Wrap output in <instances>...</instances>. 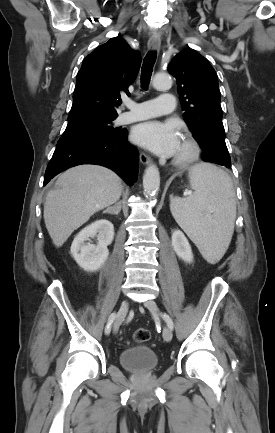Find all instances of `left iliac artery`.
Here are the masks:
<instances>
[{"label": "left iliac artery", "mask_w": 275, "mask_h": 433, "mask_svg": "<svg viewBox=\"0 0 275 433\" xmlns=\"http://www.w3.org/2000/svg\"><path fill=\"white\" fill-rule=\"evenodd\" d=\"M162 317H163V319L166 321L168 327L172 330L174 325H173V321H172V319L169 317V315H167L166 313H164V314L162 315Z\"/></svg>", "instance_id": "left-iliac-artery-1"}]
</instances>
